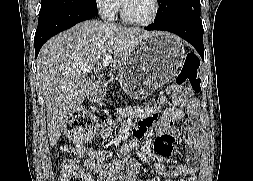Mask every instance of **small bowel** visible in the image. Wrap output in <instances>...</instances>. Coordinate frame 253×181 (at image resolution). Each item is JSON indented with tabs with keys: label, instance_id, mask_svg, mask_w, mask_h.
Masks as SVG:
<instances>
[{
	"label": "small bowel",
	"instance_id": "c3829d8e",
	"mask_svg": "<svg viewBox=\"0 0 253 181\" xmlns=\"http://www.w3.org/2000/svg\"><path fill=\"white\" fill-rule=\"evenodd\" d=\"M170 102L174 105L166 108L161 116V106L167 102L166 96H161L158 104L153 107H129L125 111V118H136L138 124L134 128L133 137L146 139L145 145H151L152 138L156 133L158 140L156 143L157 154L159 158L155 161L153 168L157 175L163 176L165 181H196L198 172L199 140L200 132L198 130L197 114L198 102L190 93L182 91L176 87L169 90ZM187 101L184 110L177 106ZM190 118L193 125L189 128L192 135L187 141L188 160L181 163L173 169H168L165 161L170 157L178 130L176 122ZM114 131V124L111 120L104 121L100 136L109 138ZM75 157L71 160L72 165L77 166L81 159H85V170L81 171L88 178V181H136L138 174V165L133 159H115L109 163H103L105 155L102 151L88 146H77L74 149ZM142 181H154L146 179Z\"/></svg>",
	"mask_w": 253,
	"mask_h": 181
}]
</instances>
